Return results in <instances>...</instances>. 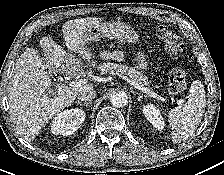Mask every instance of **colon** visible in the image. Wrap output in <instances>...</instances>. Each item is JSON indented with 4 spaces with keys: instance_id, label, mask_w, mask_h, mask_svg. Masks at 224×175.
<instances>
[{
    "instance_id": "1",
    "label": "colon",
    "mask_w": 224,
    "mask_h": 175,
    "mask_svg": "<svg viewBox=\"0 0 224 175\" xmlns=\"http://www.w3.org/2000/svg\"><path fill=\"white\" fill-rule=\"evenodd\" d=\"M156 36L164 41L165 49L170 57L178 61L183 57L184 44L181 38L167 26L160 25L155 29ZM187 87L185 71L179 67H173L168 74V89L173 95L180 94Z\"/></svg>"
}]
</instances>
